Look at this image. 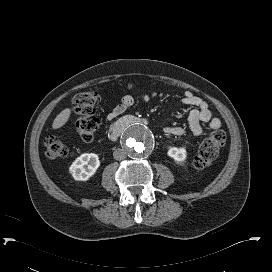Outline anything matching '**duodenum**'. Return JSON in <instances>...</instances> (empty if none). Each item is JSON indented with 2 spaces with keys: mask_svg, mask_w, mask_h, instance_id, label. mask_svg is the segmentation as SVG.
Returning <instances> with one entry per match:
<instances>
[{
  "mask_svg": "<svg viewBox=\"0 0 272 272\" xmlns=\"http://www.w3.org/2000/svg\"><path fill=\"white\" fill-rule=\"evenodd\" d=\"M131 121V119L119 120L115 122L109 132V137L112 141L117 140L125 129L126 125Z\"/></svg>",
  "mask_w": 272,
  "mask_h": 272,
  "instance_id": "1",
  "label": "duodenum"
}]
</instances>
